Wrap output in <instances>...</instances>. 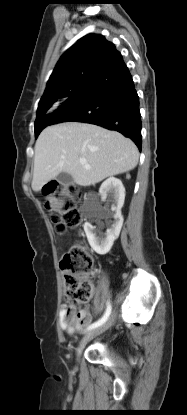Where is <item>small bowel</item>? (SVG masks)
Instances as JSON below:
<instances>
[{
	"instance_id": "1",
	"label": "small bowel",
	"mask_w": 187,
	"mask_h": 415,
	"mask_svg": "<svg viewBox=\"0 0 187 415\" xmlns=\"http://www.w3.org/2000/svg\"><path fill=\"white\" fill-rule=\"evenodd\" d=\"M92 321L91 313L88 309L75 311L69 307L61 309V328L68 334H75L87 326Z\"/></svg>"
}]
</instances>
